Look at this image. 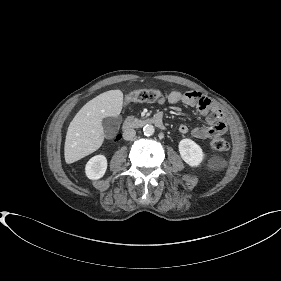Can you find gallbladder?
Wrapping results in <instances>:
<instances>
[{"label": "gallbladder", "instance_id": "obj_1", "mask_svg": "<svg viewBox=\"0 0 281 281\" xmlns=\"http://www.w3.org/2000/svg\"><path fill=\"white\" fill-rule=\"evenodd\" d=\"M121 124V118L120 117H106L102 121V126L104 130V136L106 138L113 137Z\"/></svg>", "mask_w": 281, "mask_h": 281}]
</instances>
